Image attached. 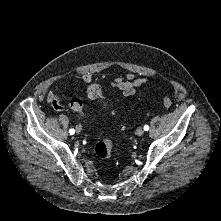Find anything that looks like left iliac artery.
Listing matches in <instances>:
<instances>
[{
  "instance_id": "left-iliac-artery-1",
  "label": "left iliac artery",
  "mask_w": 221,
  "mask_h": 221,
  "mask_svg": "<svg viewBox=\"0 0 221 221\" xmlns=\"http://www.w3.org/2000/svg\"><path fill=\"white\" fill-rule=\"evenodd\" d=\"M144 130H145V131H148V130H149V126H148V125H145V126H144Z\"/></svg>"
}]
</instances>
